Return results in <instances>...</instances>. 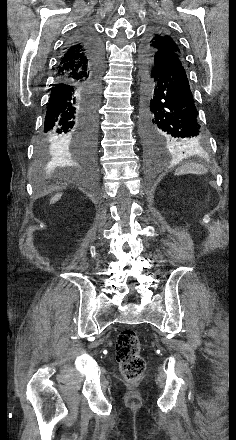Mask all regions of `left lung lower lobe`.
<instances>
[{
    "label": "left lung lower lobe",
    "instance_id": "0a47b994",
    "mask_svg": "<svg viewBox=\"0 0 236 440\" xmlns=\"http://www.w3.org/2000/svg\"><path fill=\"white\" fill-rule=\"evenodd\" d=\"M146 94L141 131L151 156L202 145L206 135L198 119L184 60L171 56L155 64L143 61Z\"/></svg>",
    "mask_w": 236,
    "mask_h": 440
}]
</instances>
